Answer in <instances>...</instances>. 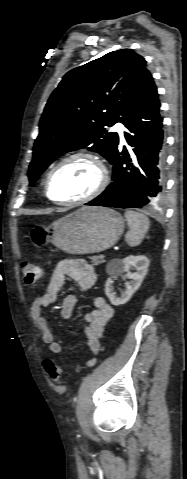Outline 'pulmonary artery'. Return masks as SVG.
Masks as SVG:
<instances>
[{
  "label": "pulmonary artery",
  "mask_w": 187,
  "mask_h": 479,
  "mask_svg": "<svg viewBox=\"0 0 187 479\" xmlns=\"http://www.w3.org/2000/svg\"><path fill=\"white\" fill-rule=\"evenodd\" d=\"M113 130L117 131L119 133L122 142H124V137H123L124 127H123V125L121 123H116L113 127Z\"/></svg>",
  "instance_id": "pulmonary-artery-1"
}]
</instances>
